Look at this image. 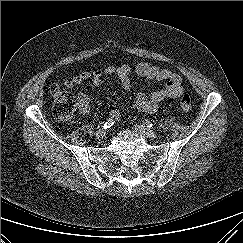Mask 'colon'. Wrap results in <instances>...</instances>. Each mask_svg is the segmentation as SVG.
Instances as JSON below:
<instances>
[{"mask_svg": "<svg viewBox=\"0 0 243 243\" xmlns=\"http://www.w3.org/2000/svg\"><path fill=\"white\" fill-rule=\"evenodd\" d=\"M51 95L53 98V111L54 114L60 119H68L76 109V100L69 90H66L58 85L51 86ZM181 109L190 113L194 110V99L185 94L180 100Z\"/></svg>", "mask_w": 243, "mask_h": 243, "instance_id": "obj_1", "label": "colon"}]
</instances>
